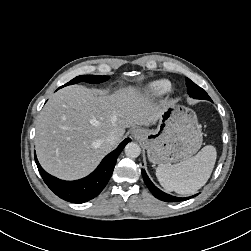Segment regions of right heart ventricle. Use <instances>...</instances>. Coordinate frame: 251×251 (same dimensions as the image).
<instances>
[{
    "label": "right heart ventricle",
    "instance_id": "obj_1",
    "mask_svg": "<svg viewBox=\"0 0 251 251\" xmlns=\"http://www.w3.org/2000/svg\"><path fill=\"white\" fill-rule=\"evenodd\" d=\"M172 88V84L169 80L167 79H160V80H155L151 82L147 90L149 93H151L154 96H162L166 93H168Z\"/></svg>",
    "mask_w": 251,
    "mask_h": 251
}]
</instances>
